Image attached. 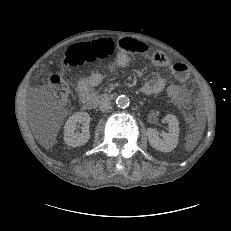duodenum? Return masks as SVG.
<instances>
[{"label": "duodenum", "mask_w": 231, "mask_h": 231, "mask_svg": "<svg viewBox=\"0 0 231 231\" xmlns=\"http://www.w3.org/2000/svg\"><path fill=\"white\" fill-rule=\"evenodd\" d=\"M114 98H115L114 94L105 93V94H102V95L96 97L95 99L91 98V99L83 101V106L85 107V109L91 110L97 104L102 103L104 101L112 100Z\"/></svg>", "instance_id": "obj_1"}]
</instances>
